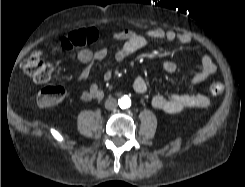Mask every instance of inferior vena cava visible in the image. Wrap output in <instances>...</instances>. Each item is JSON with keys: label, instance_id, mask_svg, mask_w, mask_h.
Returning a JSON list of instances; mask_svg holds the SVG:
<instances>
[{"label": "inferior vena cava", "instance_id": "602c4592", "mask_svg": "<svg viewBox=\"0 0 245 187\" xmlns=\"http://www.w3.org/2000/svg\"><path fill=\"white\" fill-rule=\"evenodd\" d=\"M105 108L107 110H114L117 108L118 104H117V100L114 99V98H108L106 101H105V104H104Z\"/></svg>", "mask_w": 245, "mask_h": 187}]
</instances>
